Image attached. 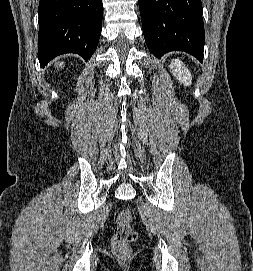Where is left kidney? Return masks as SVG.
Wrapping results in <instances>:
<instances>
[{
  "instance_id": "obj_1",
  "label": "left kidney",
  "mask_w": 253,
  "mask_h": 271,
  "mask_svg": "<svg viewBox=\"0 0 253 271\" xmlns=\"http://www.w3.org/2000/svg\"><path fill=\"white\" fill-rule=\"evenodd\" d=\"M172 75L179 80L180 83L190 86L192 83V75L189 69L179 59H173L170 63Z\"/></svg>"
}]
</instances>
